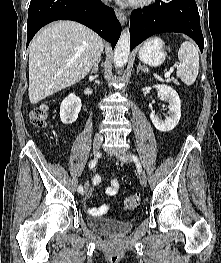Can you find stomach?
<instances>
[{
	"label": "stomach",
	"instance_id": "stomach-1",
	"mask_svg": "<svg viewBox=\"0 0 221 263\" xmlns=\"http://www.w3.org/2000/svg\"><path fill=\"white\" fill-rule=\"evenodd\" d=\"M162 45L163 42L159 38L148 40L139 51L140 60L149 66L161 65L166 58Z\"/></svg>",
	"mask_w": 221,
	"mask_h": 263
}]
</instances>
